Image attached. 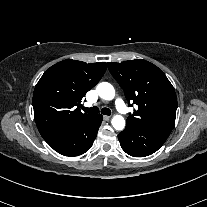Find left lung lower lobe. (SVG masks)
I'll use <instances>...</instances> for the list:
<instances>
[{"label":"left lung lower lobe","mask_w":207,"mask_h":207,"mask_svg":"<svg viewBox=\"0 0 207 207\" xmlns=\"http://www.w3.org/2000/svg\"><path fill=\"white\" fill-rule=\"evenodd\" d=\"M118 138L122 149L127 154L133 157H145L156 152L168 137L126 125Z\"/></svg>","instance_id":"obj_1"}]
</instances>
